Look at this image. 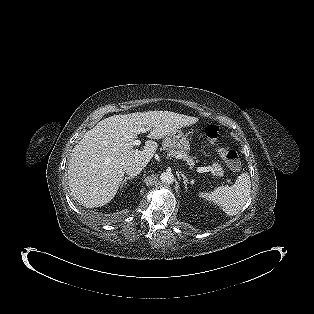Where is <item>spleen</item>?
<instances>
[{
    "instance_id": "3e777b00",
    "label": "spleen",
    "mask_w": 314,
    "mask_h": 314,
    "mask_svg": "<svg viewBox=\"0 0 314 314\" xmlns=\"http://www.w3.org/2000/svg\"><path fill=\"white\" fill-rule=\"evenodd\" d=\"M251 192L250 176L242 173L232 186H220L212 192H200L199 197L218 205L227 215L238 214Z\"/></svg>"
}]
</instances>
